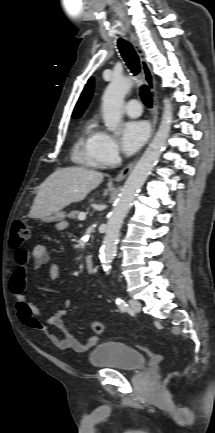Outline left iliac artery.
Returning a JSON list of instances; mask_svg holds the SVG:
<instances>
[{
  "label": "left iliac artery",
  "instance_id": "44dca946",
  "mask_svg": "<svg viewBox=\"0 0 215 433\" xmlns=\"http://www.w3.org/2000/svg\"><path fill=\"white\" fill-rule=\"evenodd\" d=\"M116 304L122 312H126L129 310L128 304L121 298H116Z\"/></svg>",
  "mask_w": 215,
  "mask_h": 433
}]
</instances>
